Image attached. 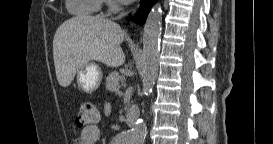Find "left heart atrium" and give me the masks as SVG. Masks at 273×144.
<instances>
[{"instance_id": "left-heart-atrium-1", "label": "left heart atrium", "mask_w": 273, "mask_h": 144, "mask_svg": "<svg viewBox=\"0 0 273 144\" xmlns=\"http://www.w3.org/2000/svg\"><path fill=\"white\" fill-rule=\"evenodd\" d=\"M124 2H129L130 0H123Z\"/></svg>"}]
</instances>
